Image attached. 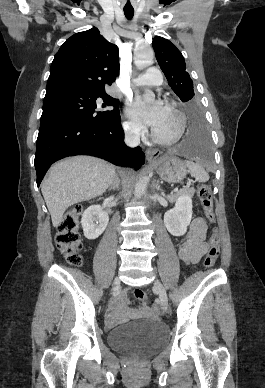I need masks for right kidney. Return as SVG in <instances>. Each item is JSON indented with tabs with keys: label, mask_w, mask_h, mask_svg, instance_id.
<instances>
[{
	"label": "right kidney",
	"mask_w": 265,
	"mask_h": 388,
	"mask_svg": "<svg viewBox=\"0 0 265 388\" xmlns=\"http://www.w3.org/2000/svg\"><path fill=\"white\" fill-rule=\"evenodd\" d=\"M108 222L109 216L101 206H89L85 210L81 220L85 238L87 240H96V238H99L104 230H106Z\"/></svg>",
	"instance_id": "right-kidney-1"
}]
</instances>
